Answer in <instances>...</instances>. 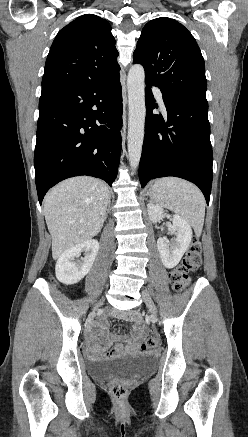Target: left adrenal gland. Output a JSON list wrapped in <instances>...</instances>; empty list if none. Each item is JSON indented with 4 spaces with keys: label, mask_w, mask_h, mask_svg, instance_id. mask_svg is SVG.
Listing matches in <instances>:
<instances>
[{
    "label": "left adrenal gland",
    "mask_w": 248,
    "mask_h": 437,
    "mask_svg": "<svg viewBox=\"0 0 248 437\" xmlns=\"http://www.w3.org/2000/svg\"><path fill=\"white\" fill-rule=\"evenodd\" d=\"M147 195H149V196H150V190H149V192L147 193Z\"/></svg>",
    "instance_id": "left-adrenal-gland-1"
}]
</instances>
